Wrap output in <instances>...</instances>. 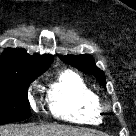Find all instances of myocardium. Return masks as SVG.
<instances>
[{"instance_id":"f54148a6","label":"myocardium","mask_w":136,"mask_h":136,"mask_svg":"<svg viewBox=\"0 0 136 136\" xmlns=\"http://www.w3.org/2000/svg\"><path fill=\"white\" fill-rule=\"evenodd\" d=\"M100 109H101V111H102V110H107V109H108V106H107V105H104V104H100Z\"/></svg>"}]
</instances>
